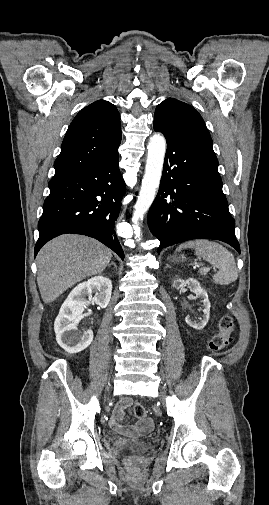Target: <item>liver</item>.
<instances>
[{
  "mask_svg": "<svg viewBox=\"0 0 269 505\" xmlns=\"http://www.w3.org/2000/svg\"><path fill=\"white\" fill-rule=\"evenodd\" d=\"M112 252L99 241L74 234L48 242L37 255V283L44 303L58 298L84 278L101 273Z\"/></svg>",
  "mask_w": 269,
  "mask_h": 505,
  "instance_id": "6515ba94",
  "label": "liver"
}]
</instances>
